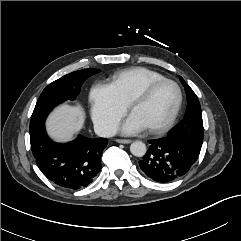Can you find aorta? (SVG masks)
I'll use <instances>...</instances> for the list:
<instances>
[{
    "label": "aorta",
    "mask_w": 241,
    "mask_h": 241,
    "mask_svg": "<svg viewBox=\"0 0 241 241\" xmlns=\"http://www.w3.org/2000/svg\"><path fill=\"white\" fill-rule=\"evenodd\" d=\"M146 150V145L142 141H135L130 145V152L136 157L144 156Z\"/></svg>",
    "instance_id": "762f6f07"
}]
</instances>
